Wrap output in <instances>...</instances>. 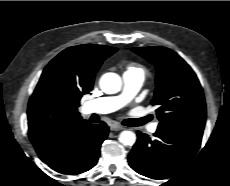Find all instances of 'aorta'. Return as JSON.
<instances>
[{
	"mask_svg": "<svg viewBox=\"0 0 230 186\" xmlns=\"http://www.w3.org/2000/svg\"><path fill=\"white\" fill-rule=\"evenodd\" d=\"M101 90L106 94H115L121 90L122 80L116 73H105L99 82ZM119 142L124 146H133L136 142V134L132 131H122Z\"/></svg>",
	"mask_w": 230,
	"mask_h": 186,
	"instance_id": "obj_1",
	"label": "aorta"
}]
</instances>
